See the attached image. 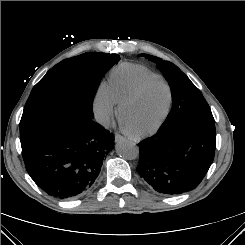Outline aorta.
Masks as SVG:
<instances>
[{"instance_id":"762f6f07","label":"aorta","mask_w":245,"mask_h":245,"mask_svg":"<svg viewBox=\"0 0 245 245\" xmlns=\"http://www.w3.org/2000/svg\"><path fill=\"white\" fill-rule=\"evenodd\" d=\"M116 152L120 157L127 160H134L139 156L138 146L127 139H122L117 142Z\"/></svg>"}]
</instances>
